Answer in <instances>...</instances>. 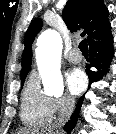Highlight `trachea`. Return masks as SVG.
I'll use <instances>...</instances> for the list:
<instances>
[{"label":"trachea","instance_id":"trachea-1","mask_svg":"<svg viewBox=\"0 0 116 134\" xmlns=\"http://www.w3.org/2000/svg\"><path fill=\"white\" fill-rule=\"evenodd\" d=\"M79 49L82 52L83 55H88V44H87V40L83 39L80 44H79Z\"/></svg>","mask_w":116,"mask_h":134}]
</instances>
